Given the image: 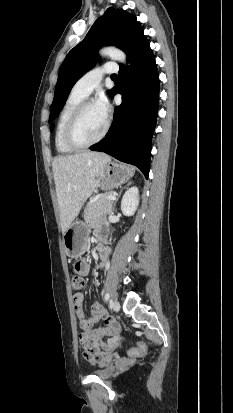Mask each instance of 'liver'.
Wrapping results in <instances>:
<instances>
[{
  "label": "liver",
  "instance_id": "liver-1",
  "mask_svg": "<svg viewBox=\"0 0 233 413\" xmlns=\"http://www.w3.org/2000/svg\"><path fill=\"white\" fill-rule=\"evenodd\" d=\"M110 160L104 153L91 151L58 156L53 160L52 169L63 233L78 216L84 202L99 186L105 165Z\"/></svg>",
  "mask_w": 233,
  "mask_h": 413
}]
</instances>
